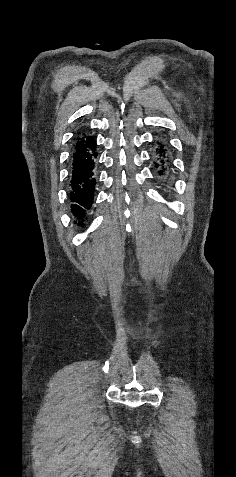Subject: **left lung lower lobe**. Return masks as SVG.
I'll return each mask as SVG.
<instances>
[{"instance_id":"left-lung-lower-lobe-1","label":"left lung lower lobe","mask_w":236,"mask_h":477,"mask_svg":"<svg viewBox=\"0 0 236 477\" xmlns=\"http://www.w3.org/2000/svg\"><path fill=\"white\" fill-rule=\"evenodd\" d=\"M165 151L166 150L164 149V146H162V145L157 149L156 154H157V161L158 162H154V163H155V166L157 168L160 167L159 175L160 176L166 175V177H167L170 165L168 163L169 161L167 159ZM166 166H167V169H166ZM165 170L167 171L166 174H165Z\"/></svg>"}]
</instances>
